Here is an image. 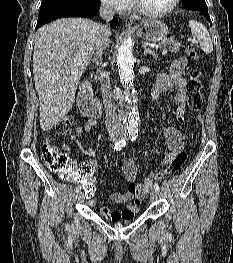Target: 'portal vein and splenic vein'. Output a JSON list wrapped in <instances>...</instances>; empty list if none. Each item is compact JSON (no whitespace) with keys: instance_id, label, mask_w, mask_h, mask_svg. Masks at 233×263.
<instances>
[{"instance_id":"18ae733b","label":"portal vein and splenic vein","mask_w":233,"mask_h":263,"mask_svg":"<svg viewBox=\"0 0 233 263\" xmlns=\"http://www.w3.org/2000/svg\"><path fill=\"white\" fill-rule=\"evenodd\" d=\"M166 54H167V50H163L162 55H166Z\"/></svg>"}]
</instances>
